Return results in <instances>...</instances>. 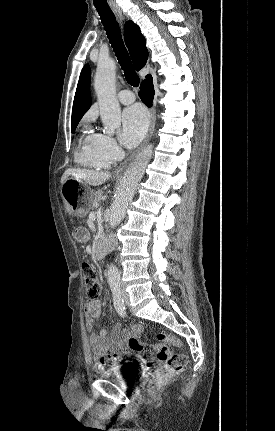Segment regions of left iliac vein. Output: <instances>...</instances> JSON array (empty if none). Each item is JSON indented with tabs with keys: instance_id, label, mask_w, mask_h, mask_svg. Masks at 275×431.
I'll return each mask as SVG.
<instances>
[{
	"instance_id": "obj_1",
	"label": "left iliac vein",
	"mask_w": 275,
	"mask_h": 431,
	"mask_svg": "<svg viewBox=\"0 0 275 431\" xmlns=\"http://www.w3.org/2000/svg\"><path fill=\"white\" fill-rule=\"evenodd\" d=\"M122 298H123V300H124L125 304H126V305H129L130 300H129V295H128V293H127V292H125V291H123V292H122Z\"/></svg>"
}]
</instances>
